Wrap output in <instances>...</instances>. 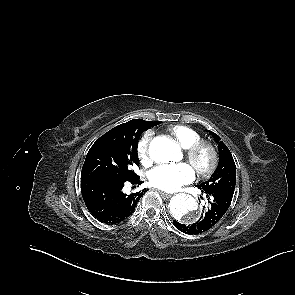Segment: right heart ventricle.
<instances>
[{"instance_id": "obj_1", "label": "right heart ventricle", "mask_w": 295, "mask_h": 295, "mask_svg": "<svg viewBox=\"0 0 295 295\" xmlns=\"http://www.w3.org/2000/svg\"><path fill=\"white\" fill-rule=\"evenodd\" d=\"M168 132L184 149H187L192 145L202 141V137L197 131L184 125L172 126L168 129Z\"/></svg>"}]
</instances>
